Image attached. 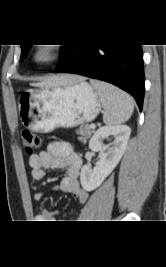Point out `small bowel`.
I'll list each match as a JSON object with an SVG mask.
<instances>
[{
	"label": "small bowel",
	"instance_id": "c3829d8e",
	"mask_svg": "<svg viewBox=\"0 0 166 267\" xmlns=\"http://www.w3.org/2000/svg\"><path fill=\"white\" fill-rule=\"evenodd\" d=\"M29 165L31 176L35 181L42 180L47 170L65 169L66 175L61 184L53 189L72 194L81 204L87 201L88 195L79 182L82 159L69 143L63 141L50 143L45 150L30 156ZM43 194V192H37L34 196L35 200H41ZM35 218L38 222H46V220H59V215L44 209Z\"/></svg>",
	"mask_w": 166,
	"mask_h": 267
}]
</instances>
